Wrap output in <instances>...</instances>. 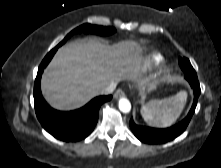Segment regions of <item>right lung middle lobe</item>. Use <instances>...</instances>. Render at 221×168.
<instances>
[{
    "label": "right lung middle lobe",
    "mask_w": 221,
    "mask_h": 168,
    "mask_svg": "<svg viewBox=\"0 0 221 168\" xmlns=\"http://www.w3.org/2000/svg\"><path fill=\"white\" fill-rule=\"evenodd\" d=\"M94 33L99 35H109L115 32V29L113 27H103V26H96L91 24H83L76 29L72 30L62 42L58 44V46H61L64 44L72 35L78 34V33Z\"/></svg>",
    "instance_id": "obj_1"
}]
</instances>
